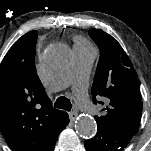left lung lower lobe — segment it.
Instances as JSON below:
<instances>
[{
  "label": "left lung lower lobe",
  "instance_id": "obj_1",
  "mask_svg": "<svg viewBox=\"0 0 151 151\" xmlns=\"http://www.w3.org/2000/svg\"><path fill=\"white\" fill-rule=\"evenodd\" d=\"M131 138L130 135L98 127L97 135L84 144L88 151H123Z\"/></svg>",
  "mask_w": 151,
  "mask_h": 151
}]
</instances>
